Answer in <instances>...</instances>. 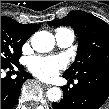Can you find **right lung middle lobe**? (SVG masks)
I'll return each instance as SVG.
<instances>
[{
    "instance_id": "dd1d6c3e",
    "label": "right lung middle lobe",
    "mask_w": 109,
    "mask_h": 109,
    "mask_svg": "<svg viewBox=\"0 0 109 109\" xmlns=\"http://www.w3.org/2000/svg\"><path fill=\"white\" fill-rule=\"evenodd\" d=\"M26 40L15 29L1 26V67L18 64Z\"/></svg>"
}]
</instances>
